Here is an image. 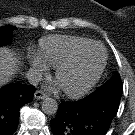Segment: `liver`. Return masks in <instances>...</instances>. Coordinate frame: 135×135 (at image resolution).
<instances>
[{
    "mask_svg": "<svg viewBox=\"0 0 135 135\" xmlns=\"http://www.w3.org/2000/svg\"><path fill=\"white\" fill-rule=\"evenodd\" d=\"M17 59L10 49L0 48V87L7 83L15 73Z\"/></svg>",
    "mask_w": 135,
    "mask_h": 135,
    "instance_id": "1",
    "label": "liver"
}]
</instances>
